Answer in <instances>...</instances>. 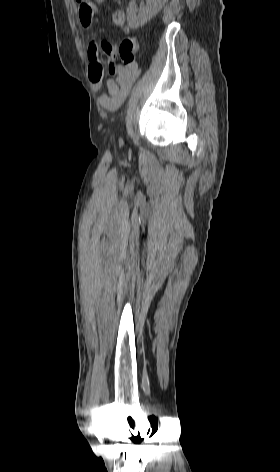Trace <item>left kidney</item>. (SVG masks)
<instances>
[{"instance_id": "5707ae66", "label": "left kidney", "mask_w": 280, "mask_h": 472, "mask_svg": "<svg viewBox=\"0 0 280 472\" xmlns=\"http://www.w3.org/2000/svg\"><path fill=\"white\" fill-rule=\"evenodd\" d=\"M167 0H146V5L138 9L135 0L129 3L127 9L128 25L137 29L153 18Z\"/></svg>"}]
</instances>
